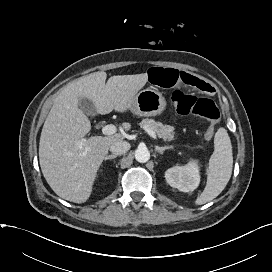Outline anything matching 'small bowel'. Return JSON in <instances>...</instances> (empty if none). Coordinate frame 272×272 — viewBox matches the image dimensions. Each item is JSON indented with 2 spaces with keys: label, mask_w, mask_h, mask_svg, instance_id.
Returning <instances> with one entry per match:
<instances>
[{
  "label": "small bowel",
  "mask_w": 272,
  "mask_h": 272,
  "mask_svg": "<svg viewBox=\"0 0 272 272\" xmlns=\"http://www.w3.org/2000/svg\"><path fill=\"white\" fill-rule=\"evenodd\" d=\"M148 77L154 85L162 88L185 86L202 92H211L213 89L209 83L173 68H152L148 72Z\"/></svg>",
  "instance_id": "obj_1"
}]
</instances>
